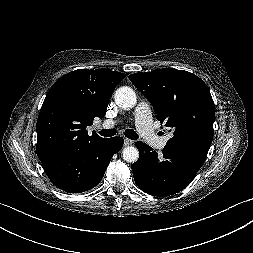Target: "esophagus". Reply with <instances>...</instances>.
Listing matches in <instances>:
<instances>
[{"label": "esophagus", "instance_id": "esophagus-1", "mask_svg": "<svg viewBox=\"0 0 253 253\" xmlns=\"http://www.w3.org/2000/svg\"><path fill=\"white\" fill-rule=\"evenodd\" d=\"M133 140L131 139H128V138H125L124 139V146H130V145H133Z\"/></svg>", "mask_w": 253, "mask_h": 253}]
</instances>
